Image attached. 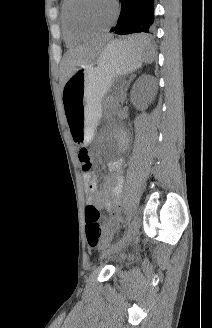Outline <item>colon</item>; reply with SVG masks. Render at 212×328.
<instances>
[{
	"mask_svg": "<svg viewBox=\"0 0 212 328\" xmlns=\"http://www.w3.org/2000/svg\"><path fill=\"white\" fill-rule=\"evenodd\" d=\"M79 161L81 168L88 172L92 168V158L87 148H81L79 151ZM86 217V238L88 245L92 248H102L105 246L102 240L101 229L99 225L100 212L94 205H87L85 208Z\"/></svg>",
	"mask_w": 212,
	"mask_h": 328,
	"instance_id": "1",
	"label": "colon"
}]
</instances>
